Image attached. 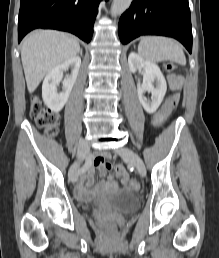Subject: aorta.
I'll use <instances>...</instances> for the list:
<instances>
[{
  "label": "aorta",
  "instance_id": "762f6f07",
  "mask_svg": "<svg viewBox=\"0 0 219 258\" xmlns=\"http://www.w3.org/2000/svg\"><path fill=\"white\" fill-rule=\"evenodd\" d=\"M132 0H113L111 15L118 16L125 12L131 5Z\"/></svg>",
  "mask_w": 219,
  "mask_h": 258
}]
</instances>
